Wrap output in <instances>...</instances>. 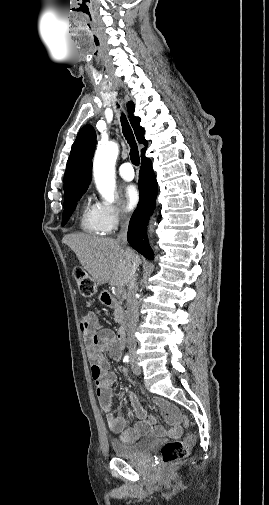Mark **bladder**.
Segmentation results:
<instances>
[{
    "mask_svg": "<svg viewBox=\"0 0 269 505\" xmlns=\"http://www.w3.org/2000/svg\"><path fill=\"white\" fill-rule=\"evenodd\" d=\"M156 439L153 436H146L134 443H125L121 441H112L114 454L119 458L138 460L142 458L155 444Z\"/></svg>",
    "mask_w": 269,
    "mask_h": 505,
    "instance_id": "1",
    "label": "bladder"
}]
</instances>
